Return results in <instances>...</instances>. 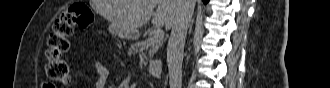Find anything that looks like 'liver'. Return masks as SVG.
<instances>
[{"label":"liver","mask_w":330,"mask_h":88,"mask_svg":"<svg viewBox=\"0 0 330 88\" xmlns=\"http://www.w3.org/2000/svg\"><path fill=\"white\" fill-rule=\"evenodd\" d=\"M195 5L196 0H192ZM96 11L116 32H133L152 17L156 26L170 29L178 14L179 0H95ZM156 8V11L154 9Z\"/></svg>","instance_id":"obj_1"}]
</instances>
